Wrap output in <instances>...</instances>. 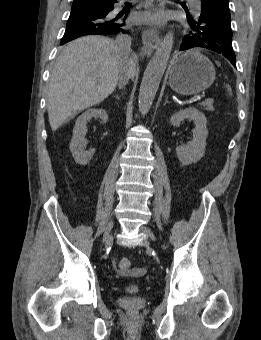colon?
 <instances>
[{
    "instance_id": "obj_1",
    "label": "colon",
    "mask_w": 261,
    "mask_h": 340,
    "mask_svg": "<svg viewBox=\"0 0 261 340\" xmlns=\"http://www.w3.org/2000/svg\"><path fill=\"white\" fill-rule=\"evenodd\" d=\"M130 266H131V262L126 257H122V258L117 259L113 264L115 271L119 272V273H124V272L128 271Z\"/></svg>"
}]
</instances>
